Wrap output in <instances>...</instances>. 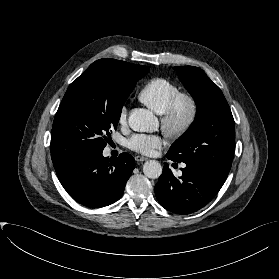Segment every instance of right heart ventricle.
I'll use <instances>...</instances> for the list:
<instances>
[{"mask_svg":"<svg viewBox=\"0 0 279 279\" xmlns=\"http://www.w3.org/2000/svg\"><path fill=\"white\" fill-rule=\"evenodd\" d=\"M179 88L165 78H154L147 82L139 93L140 101L156 114L162 115Z\"/></svg>","mask_w":279,"mask_h":279,"instance_id":"right-heart-ventricle-1","label":"right heart ventricle"}]
</instances>
